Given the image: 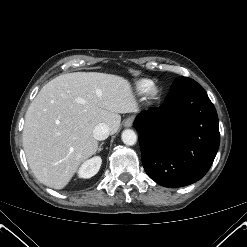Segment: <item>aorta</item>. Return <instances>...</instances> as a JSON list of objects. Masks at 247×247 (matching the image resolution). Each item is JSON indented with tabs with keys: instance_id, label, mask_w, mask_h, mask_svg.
Wrapping results in <instances>:
<instances>
[{
	"instance_id": "obj_1",
	"label": "aorta",
	"mask_w": 247,
	"mask_h": 247,
	"mask_svg": "<svg viewBox=\"0 0 247 247\" xmlns=\"http://www.w3.org/2000/svg\"><path fill=\"white\" fill-rule=\"evenodd\" d=\"M121 139L124 144L132 146L137 142V135L131 129H126L122 132Z\"/></svg>"
}]
</instances>
